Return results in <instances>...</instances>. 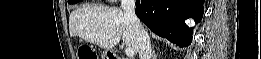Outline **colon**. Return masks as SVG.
<instances>
[{
  "label": "colon",
  "mask_w": 261,
  "mask_h": 59,
  "mask_svg": "<svg viewBox=\"0 0 261 59\" xmlns=\"http://www.w3.org/2000/svg\"><path fill=\"white\" fill-rule=\"evenodd\" d=\"M78 57L79 59H97L96 53L88 46L79 49Z\"/></svg>",
  "instance_id": "obj_1"
}]
</instances>
